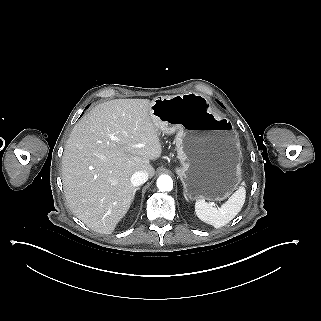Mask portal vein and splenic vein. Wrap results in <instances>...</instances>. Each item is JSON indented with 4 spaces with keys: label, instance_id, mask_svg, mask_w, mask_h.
I'll return each mask as SVG.
<instances>
[{
    "label": "portal vein and splenic vein",
    "instance_id": "1",
    "mask_svg": "<svg viewBox=\"0 0 321 321\" xmlns=\"http://www.w3.org/2000/svg\"><path fill=\"white\" fill-rule=\"evenodd\" d=\"M110 139L113 141L117 140V137L114 134H110ZM212 206L218 207V210H220V212H223V208H221L220 206V201L218 199H216L213 203Z\"/></svg>",
    "mask_w": 321,
    "mask_h": 321
}]
</instances>
